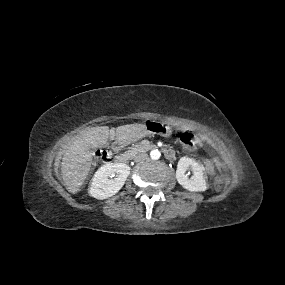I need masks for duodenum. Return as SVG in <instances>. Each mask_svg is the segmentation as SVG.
I'll return each instance as SVG.
<instances>
[{"label":"duodenum","instance_id":"obj_1","mask_svg":"<svg viewBox=\"0 0 285 285\" xmlns=\"http://www.w3.org/2000/svg\"><path fill=\"white\" fill-rule=\"evenodd\" d=\"M124 142L123 141H115L114 143V150L117 152L115 160L118 163H126L128 162L130 155L127 153H122L121 152V148L123 147ZM163 153L165 155L166 158L168 159H173L175 157V152L169 148H165L163 150Z\"/></svg>","mask_w":285,"mask_h":285}]
</instances>
